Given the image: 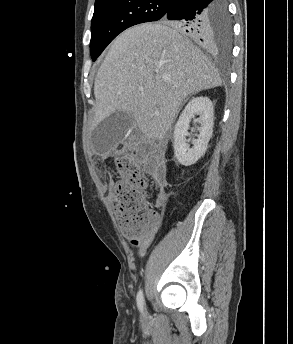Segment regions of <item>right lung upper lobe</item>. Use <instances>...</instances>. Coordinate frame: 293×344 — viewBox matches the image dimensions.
Segmentation results:
<instances>
[{"instance_id": "obj_1", "label": "right lung upper lobe", "mask_w": 293, "mask_h": 344, "mask_svg": "<svg viewBox=\"0 0 293 344\" xmlns=\"http://www.w3.org/2000/svg\"><path fill=\"white\" fill-rule=\"evenodd\" d=\"M102 1H110V0H95V4L102 2ZM210 44H208L207 46H209Z\"/></svg>"}]
</instances>
